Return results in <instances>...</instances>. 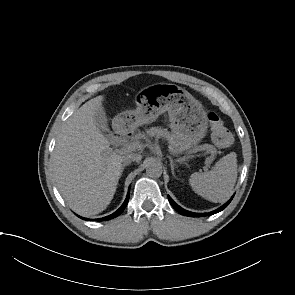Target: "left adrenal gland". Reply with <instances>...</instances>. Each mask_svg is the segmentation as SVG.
Here are the masks:
<instances>
[{
    "instance_id": "1",
    "label": "left adrenal gland",
    "mask_w": 295,
    "mask_h": 295,
    "mask_svg": "<svg viewBox=\"0 0 295 295\" xmlns=\"http://www.w3.org/2000/svg\"><path fill=\"white\" fill-rule=\"evenodd\" d=\"M168 158H169V161H170V166H171V172H172V175H173L175 178H177L176 175H175V171H174V167H175L174 161H173V159H172L170 156H168Z\"/></svg>"
}]
</instances>
